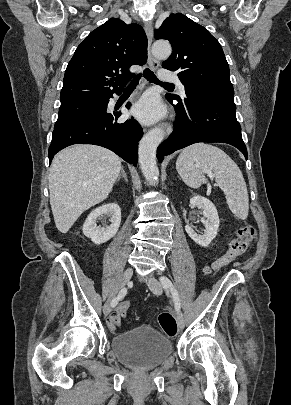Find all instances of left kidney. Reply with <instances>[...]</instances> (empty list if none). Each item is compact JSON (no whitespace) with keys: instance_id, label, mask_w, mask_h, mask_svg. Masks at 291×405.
<instances>
[{"instance_id":"1","label":"left kidney","mask_w":291,"mask_h":405,"mask_svg":"<svg viewBox=\"0 0 291 405\" xmlns=\"http://www.w3.org/2000/svg\"><path fill=\"white\" fill-rule=\"evenodd\" d=\"M191 206H197L203 210L202 223L205 226L203 234L196 233L189 224L185 226V230L189 237L200 246L207 247L216 237L219 228V216L214 204L203 196H193L190 199Z\"/></svg>"}]
</instances>
